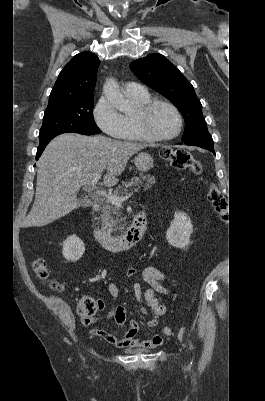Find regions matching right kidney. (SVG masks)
I'll return each mask as SVG.
<instances>
[{"instance_id":"ca27d5eb","label":"right kidney","mask_w":265,"mask_h":401,"mask_svg":"<svg viewBox=\"0 0 265 401\" xmlns=\"http://www.w3.org/2000/svg\"><path fill=\"white\" fill-rule=\"evenodd\" d=\"M84 251L85 245L79 237H76V235L68 237V239L63 243V257H65L66 261H69V263H75V261H78V259L82 257Z\"/></svg>"}]
</instances>
